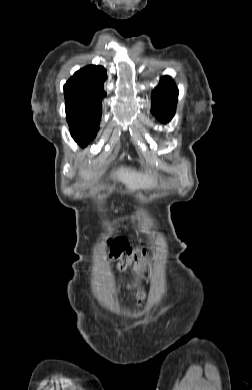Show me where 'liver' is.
<instances>
[{"mask_svg": "<svg viewBox=\"0 0 252 390\" xmlns=\"http://www.w3.org/2000/svg\"><path fill=\"white\" fill-rule=\"evenodd\" d=\"M80 175L85 180H90L93 178V176H97V174L91 171L84 170L81 171ZM99 175H101V173ZM111 176L115 180L124 183L130 191H134L139 188H146L152 184V179L147 173L143 174L137 172L135 169L123 166L116 170H113L111 172Z\"/></svg>", "mask_w": 252, "mask_h": 390, "instance_id": "liver-1", "label": "liver"}]
</instances>
